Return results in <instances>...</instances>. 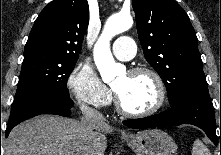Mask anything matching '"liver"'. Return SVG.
Here are the masks:
<instances>
[{
    "instance_id": "6515ba94",
    "label": "liver",
    "mask_w": 221,
    "mask_h": 155,
    "mask_svg": "<svg viewBox=\"0 0 221 155\" xmlns=\"http://www.w3.org/2000/svg\"><path fill=\"white\" fill-rule=\"evenodd\" d=\"M112 131L104 121L89 128L84 119L42 115L10 132L3 155H104Z\"/></svg>"
}]
</instances>
